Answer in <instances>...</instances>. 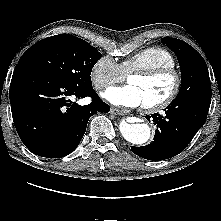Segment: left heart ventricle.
Returning <instances> with one entry per match:
<instances>
[{
	"mask_svg": "<svg viewBox=\"0 0 221 221\" xmlns=\"http://www.w3.org/2000/svg\"><path fill=\"white\" fill-rule=\"evenodd\" d=\"M128 82L138 89L143 105H150L167 97L174 84L173 77L169 75L156 78L132 76Z\"/></svg>",
	"mask_w": 221,
	"mask_h": 221,
	"instance_id": "1",
	"label": "left heart ventricle"
}]
</instances>
